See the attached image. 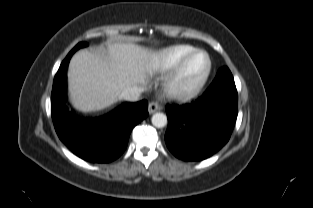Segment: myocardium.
<instances>
[{"instance_id":"1","label":"myocardium","mask_w":313,"mask_h":208,"mask_svg":"<svg viewBox=\"0 0 313 208\" xmlns=\"http://www.w3.org/2000/svg\"><path fill=\"white\" fill-rule=\"evenodd\" d=\"M203 55L205 58V66L191 84L184 83V76L186 74L189 64L198 56ZM211 59L209 55L203 50H195L185 57L180 64L172 70L164 79L163 92L164 94L175 100H188L197 96L205 86L211 72Z\"/></svg>"}]
</instances>
